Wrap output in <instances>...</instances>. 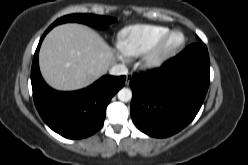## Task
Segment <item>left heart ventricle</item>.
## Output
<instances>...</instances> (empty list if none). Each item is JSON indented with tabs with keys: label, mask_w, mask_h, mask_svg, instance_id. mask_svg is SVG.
<instances>
[{
	"label": "left heart ventricle",
	"mask_w": 248,
	"mask_h": 165,
	"mask_svg": "<svg viewBox=\"0 0 248 165\" xmlns=\"http://www.w3.org/2000/svg\"><path fill=\"white\" fill-rule=\"evenodd\" d=\"M179 40V36L178 35H173L166 43L167 47L173 46L175 43H177Z\"/></svg>",
	"instance_id": "obj_1"
}]
</instances>
